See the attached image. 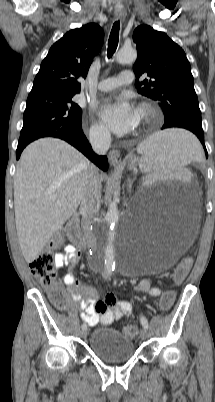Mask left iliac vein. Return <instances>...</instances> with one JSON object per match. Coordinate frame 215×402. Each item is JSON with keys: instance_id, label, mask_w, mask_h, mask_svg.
Here are the masks:
<instances>
[{"instance_id": "left-iliac-vein-1", "label": "left iliac vein", "mask_w": 215, "mask_h": 402, "mask_svg": "<svg viewBox=\"0 0 215 402\" xmlns=\"http://www.w3.org/2000/svg\"><path fill=\"white\" fill-rule=\"evenodd\" d=\"M140 337L141 339L145 340L148 337V331L146 328H142V330L140 331Z\"/></svg>"}]
</instances>
